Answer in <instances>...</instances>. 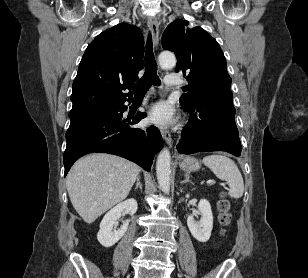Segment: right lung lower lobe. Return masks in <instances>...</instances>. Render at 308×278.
I'll list each match as a JSON object with an SVG mask.
<instances>
[{"mask_svg":"<svg viewBox=\"0 0 308 278\" xmlns=\"http://www.w3.org/2000/svg\"><path fill=\"white\" fill-rule=\"evenodd\" d=\"M126 110L122 102L70 117L64 152V176L78 158L92 152L115 154L150 170L154 154L163 146L161 134L154 126L131 128L146 115L139 112L124 119L122 116Z\"/></svg>","mask_w":308,"mask_h":278,"instance_id":"1","label":"right lung lower lobe"}]
</instances>
